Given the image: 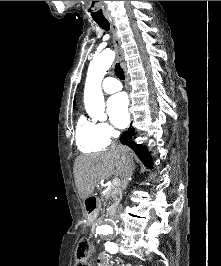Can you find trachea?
Instances as JSON below:
<instances>
[{"instance_id":"obj_1","label":"trachea","mask_w":221,"mask_h":266,"mask_svg":"<svg viewBox=\"0 0 221 266\" xmlns=\"http://www.w3.org/2000/svg\"><path fill=\"white\" fill-rule=\"evenodd\" d=\"M96 23L105 31H109L110 29V24L107 20H100L96 21ZM115 74L120 80L125 79L124 71L122 70L121 66L119 63L115 65Z\"/></svg>"}]
</instances>
